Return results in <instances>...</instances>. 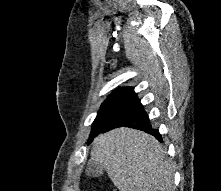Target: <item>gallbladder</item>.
Returning a JSON list of instances; mask_svg holds the SVG:
<instances>
[{
	"instance_id": "bac80fb5",
	"label": "gallbladder",
	"mask_w": 221,
	"mask_h": 191,
	"mask_svg": "<svg viewBox=\"0 0 221 191\" xmlns=\"http://www.w3.org/2000/svg\"><path fill=\"white\" fill-rule=\"evenodd\" d=\"M104 168L101 164L90 160L86 167V174L89 177H99L103 174Z\"/></svg>"
}]
</instances>
